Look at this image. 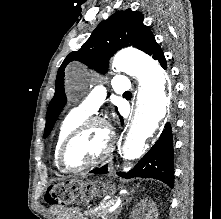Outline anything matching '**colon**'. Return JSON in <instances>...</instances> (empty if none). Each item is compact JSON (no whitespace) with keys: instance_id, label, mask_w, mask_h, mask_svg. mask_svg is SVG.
<instances>
[{"instance_id":"colon-1","label":"colon","mask_w":221,"mask_h":219,"mask_svg":"<svg viewBox=\"0 0 221 219\" xmlns=\"http://www.w3.org/2000/svg\"><path fill=\"white\" fill-rule=\"evenodd\" d=\"M66 190L61 186H55L47 193V199L56 206H68L72 199H65ZM53 195V196H52Z\"/></svg>"}]
</instances>
